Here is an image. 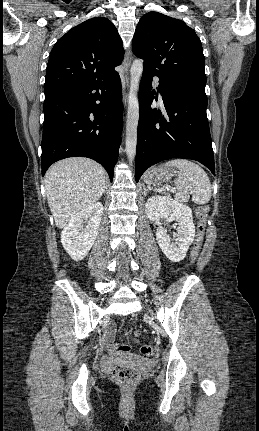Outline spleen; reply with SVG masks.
I'll use <instances>...</instances> for the list:
<instances>
[{
	"instance_id": "3e777b00",
	"label": "spleen",
	"mask_w": 259,
	"mask_h": 431,
	"mask_svg": "<svg viewBox=\"0 0 259 431\" xmlns=\"http://www.w3.org/2000/svg\"><path fill=\"white\" fill-rule=\"evenodd\" d=\"M165 166H175L180 171L174 180L177 201L187 202L192 194V201L196 204L209 202L212 195L211 182L199 165L186 159H175L165 163Z\"/></svg>"
}]
</instances>
